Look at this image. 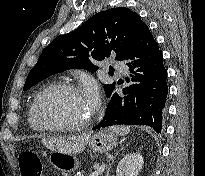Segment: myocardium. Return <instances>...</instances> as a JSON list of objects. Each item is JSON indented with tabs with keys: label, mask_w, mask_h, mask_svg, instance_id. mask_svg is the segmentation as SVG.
Here are the masks:
<instances>
[{
	"label": "myocardium",
	"mask_w": 205,
	"mask_h": 176,
	"mask_svg": "<svg viewBox=\"0 0 205 176\" xmlns=\"http://www.w3.org/2000/svg\"><path fill=\"white\" fill-rule=\"evenodd\" d=\"M56 91H71L75 93L80 92L79 88L74 83L71 82H58L43 89L35 97L31 108V116L36 126L42 130H61V131H79L87 127L92 122L93 110L90 111V113L88 114V116L84 121L74 125L61 124L57 122H44L40 119L39 106L42 100L49 94Z\"/></svg>",
	"instance_id": "f54148a6"
}]
</instances>
